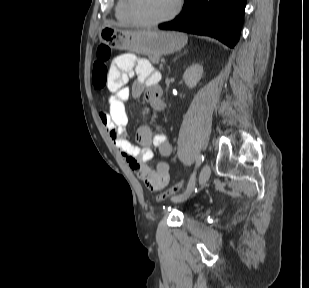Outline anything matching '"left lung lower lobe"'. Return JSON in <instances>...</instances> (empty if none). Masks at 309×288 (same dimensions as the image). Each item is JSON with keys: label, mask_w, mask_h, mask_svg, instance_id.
Returning <instances> with one entry per match:
<instances>
[{"label": "left lung lower lobe", "mask_w": 309, "mask_h": 288, "mask_svg": "<svg viewBox=\"0 0 309 288\" xmlns=\"http://www.w3.org/2000/svg\"><path fill=\"white\" fill-rule=\"evenodd\" d=\"M245 6L246 0H184L182 13L158 27L214 37L233 48L239 40Z\"/></svg>", "instance_id": "1"}]
</instances>
